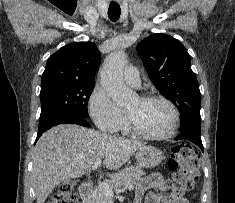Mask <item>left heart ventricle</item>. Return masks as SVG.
Here are the masks:
<instances>
[{
    "instance_id": "obj_1",
    "label": "left heart ventricle",
    "mask_w": 235,
    "mask_h": 203,
    "mask_svg": "<svg viewBox=\"0 0 235 203\" xmlns=\"http://www.w3.org/2000/svg\"><path fill=\"white\" fill-rule=\"evenodd\" d=\"M125 110L141 130L150 134L165 133L172 123V111L160 101H142L136 97Z\"/></svg>"
}]
</instances>
